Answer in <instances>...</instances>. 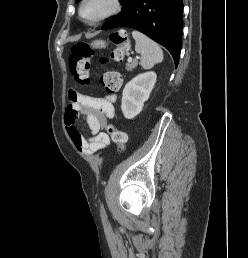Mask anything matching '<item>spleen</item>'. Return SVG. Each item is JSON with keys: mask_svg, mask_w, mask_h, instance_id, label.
Wrapping results in <instances>:
<instances>
[{"mask_svg": "<svg viewBox=\"0 0 248 258\" xmlns=\"http://www.w3.org/2000/svg\"><path fill=\"white\" fill-rule=\"evenodd\" d=\"M132 36L135 39V51L141 55L140 64L144 69H150L163 61V51L156 42L136 30Z\"/></svg>", "mask_w": 248, "mask_h": 258, "instance_id": "spleen-1", "label": "spleen"}]
</instances>
